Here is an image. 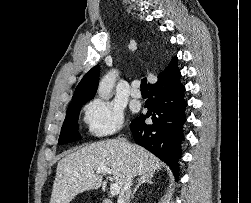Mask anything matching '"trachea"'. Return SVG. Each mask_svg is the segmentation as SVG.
<instances>
[{
  "mask_svg": "<svg viewBox=\"0 0 251 203\" xmlns=\"http://www.w3.org/2000/svg\"><path fill=\"white\" fill-rule=\"evenodd\" d=\"M141 90H147V78H143L141 80V85H140Z\"/></svg>",
  "mask_w": 251,
  "mask_h": 203,
  "instance_id": "trachea-1",
  "label": "trachea"
}]
</instances>
